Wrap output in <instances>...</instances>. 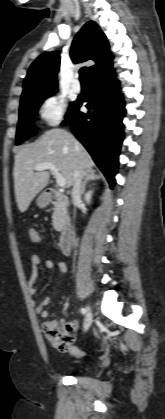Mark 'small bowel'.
<instances>
[{
    "label": "small bowel",
    "instance_id": "c3829d8e",
    "mask_svg": "<svg viewBox=\"0 0 165 419\" xmlns=\"http://www.w3.org/2000/svg\"><path fill=\"white\" fill-rule=\"evenodd\" d=\"M44 264H45V267L48 268V269L57 268L64 277H66L68 275L67 267H66L65 263L62 262V261L47 259ZM30 268H31V274H30V278H29V281H28V292H29L30 295H34L37 292V288L35 286V283L37 282V280L39 278V272H40V268H41V259L38 255H36V254L32 255L31 261H30ZM49 304H50V298L45 296L36 305L35 310H36L37 314H39L42 318H46L48 316L47 308H48ZM70 328H71L72 333H73L71 340L64 345H56L55 344V348L61 353H68L72 357L82 358L84 356V353L82 351L76 349L75 347H73V342H74V339H75V337H74L75 328H74L73 324L70 325Z\"/></svg>",
    "mask_w": 165,
    "mask_h": 419
}]
</instances>
